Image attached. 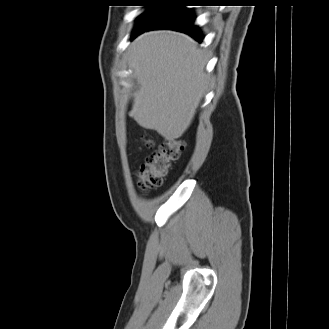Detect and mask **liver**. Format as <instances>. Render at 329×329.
<instances>
[{"label": "liver", "mask_w": 329, "mask_h": 329, "mask_svg": "<svg viewBox=\"0 0 329 329\" xmlns=\"http://www.w3.org/2000/svg\"><path fill=\"white\" fill-rule=\"evenodd\" d=\"M130 66L138 89L130 116L168 141L190 126L207 83V54L189 36L146 32L130 45Z\"/></svg>", "instance_id": "1"}]
</instances>
